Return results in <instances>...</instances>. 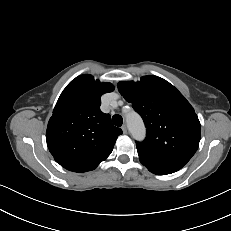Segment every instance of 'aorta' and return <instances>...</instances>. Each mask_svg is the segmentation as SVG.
Returning a JSON list of instances; mask_svg holds the SVG:
<instances>
[{
  "label": "aorta",
  "instance_id": "obj_1",
  "mask_svg": "<svg viewBox=\"0 0 231 231\" xmlns=\"http://www.w3.org/2000/svg\"><path fill=\"white\" fill-rule=\"evenodd\" d=\"M127 125L130 133L136 139H142L145 136V128L140 116L131 112L126 117Z\"/></svg>",
  "mask_w": 231,
  "mask_h": 231
}]
</instances>
